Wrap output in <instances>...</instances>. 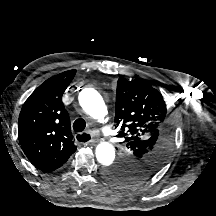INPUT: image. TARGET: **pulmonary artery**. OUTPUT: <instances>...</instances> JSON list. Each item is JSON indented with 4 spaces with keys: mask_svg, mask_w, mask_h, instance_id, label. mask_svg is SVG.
Here are the masks:
<instances>
[{
    "mask_svg": "<svg viewBox=\"0 0 216 216\" xmlns=\"http://www.w3.org/2000/svg\"><path fill=\"white\" fill-rule=\"evenodd\" d=\"M108 134H111V131H110V130L108 131Z\"/></svg>",
    "mask_w": 216,
    "mask_h": 216,
    "instance_id": "e3ab8cb5",
    "label": "pulmonary artery"
}]
</instances>
